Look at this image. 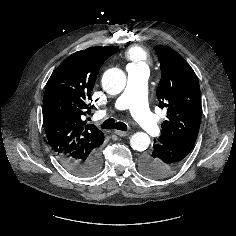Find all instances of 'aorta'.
<instances>
[{
    "instance_id": "obj_1",
    "label": "aorta",
    "mask_w": 236,
    "mask_h": 236,
    "mask_svg": "<svg viewBox=\"0 0 236 236\" xmlns=\"http://www.w3.org/2000/svg\"><path fill=\"white\" fill-rule=\"evenodd\" d=\"M126 85V75L119 68H111L105 71L102 77L103 89L111 95L119 94ZM150 144V137L144 132L134 133L130 139L133 150L144 151Z\"/></svg>"
}]
</instances>
